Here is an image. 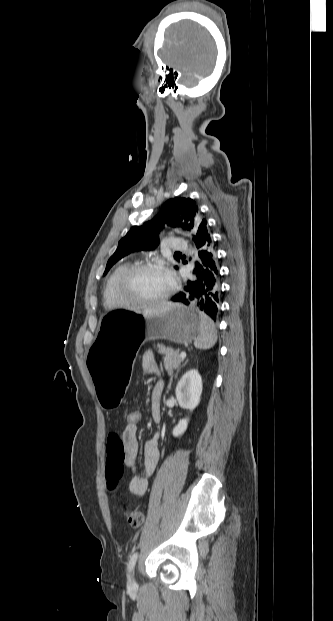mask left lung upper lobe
I'll use <instances>...</instances> for the list:
<instances>
[{
  "instance_id": "5c2ea615",
  "label": "left lung upper lobe",
  "mask_w": 333,
  "mask_h": 621,
  "mask_svg": "<svg viewBox=\"0 0 333 621\" xmlns=\"http://www.w3.org/2000/svg\"><path fill=\"white\" fill-rule=\"evenodd\" d=\"M165 224L192 230L195 239L199 229L206 226L207 222L201 218L198 206L192 199L175 197L168 200L153 219L142 226H133L119 241L117 250L107 262L104 275L130 252L155 249L159 244V232Z\"/></svg>"
}]
</instances>
